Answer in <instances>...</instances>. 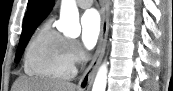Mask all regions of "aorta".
<instances>
[{
  "mask_svg": "<svg viewBox=\"0 0 173 91\" xmlns=\"http://www.w3.org/2000/svg\"><path fill=\"white\" fill-rule=\"evenodd\" d=\"M58 28L70 37H77L81 32L79 13L75 0H62ZM107 83V66L103 64L94 81L92 91H105Z\"/></svg>",
  "mask_w": 173,
  "mask_h": 91,
  "instance_id": "1",
  "label": "aorta"
}]
</instances>
